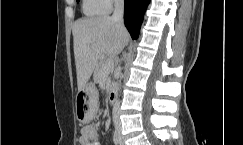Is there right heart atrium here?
Returning <instances> with one entry per match:
<instances>
[{"label": "right heart atrium", "instance_id": "1", "mask_svg": "<svg viewBox=\"0 0 243 145\" xmlns=\"http://www.w3.org/2000/svg\"><path fill=\"white\" fill-rule=\"evenodd\" d=\"M103 3L106 5V7L109 9L111 8L114 4L122 1V0H102Z\"/></svg>", "mask_w": 243, "mask_h": 145}]
</instances>
